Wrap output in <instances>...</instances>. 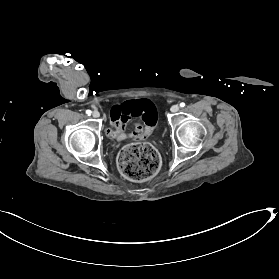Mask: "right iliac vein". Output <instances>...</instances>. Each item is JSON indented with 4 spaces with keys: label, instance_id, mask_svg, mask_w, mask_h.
<instances>
[{
    "label": "right iliac vein",
    "instance_id": "63e3f726",
    "mask_svg": "<svg viewBox=\"0 0 279 279\" xmlns=\"http://www.w3.org/2000/svg\"><path fill=\"white\" fill-rule=\"evenodd\" d=\"M92 116L94 118H98L100 116V113L97 110H95V111H93Z\"/></svg>",
    "mask_w": 279,
    "mask_h": 279
}]
</instances>
